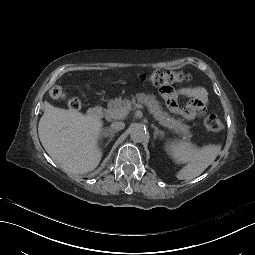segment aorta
<instances>
[{"mask_svg": "<svg viewBox=\"0 0 255 255\" xmlns=\"http://www.w3.org/2000/svg\"><path fill=\"white\" fill-rule=\"evenodd\" d=\"M132 141L140 143L145 140L147 136L146 129L141 125H136L132 128L130 132Z\"/></svg>", "mask_w": 255, "mask_h": 255, "instance_id": "762f6f07", "label": "aorta"}]
</instances>
